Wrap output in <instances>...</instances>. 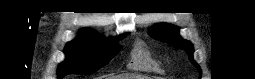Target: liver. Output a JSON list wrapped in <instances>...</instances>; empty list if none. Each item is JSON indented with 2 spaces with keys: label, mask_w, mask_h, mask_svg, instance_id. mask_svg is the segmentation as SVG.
<instances>
[{
  "label": "liver",
  "mask_w": 255,
  "mask_h": 79,
  "mask_svg": "<svg viewBox=\"0 0 255 79\" xmlns=\"http://www.w3.org/2000/svg\"><path fill=\"white\" fill-rule=\"evenodd\" d=\"M106 79H140V76L136 75H122V76H112Z\"/></svg>",
  "instance_id": "6515ba94"
}]
</instances>
